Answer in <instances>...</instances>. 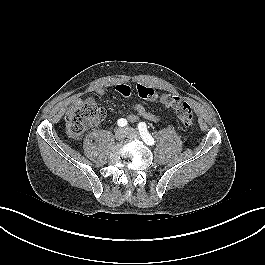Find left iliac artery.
Wrapping results in <instances>:
<instances>
[{"instance_id":"left-iliac-artery-1","label":"left iliac artery","mask_w":265,"mask_h":265,"mask_svg":"<svg viewBox=\"0 0 265 265\" xmlns=\"http://www.w3.org/2000/svg\"><path fill=\"white\" fill-rule=\"evenodd\" d=\"M138 130L140 132V135L143 139V141L148 144V145H154L155 141L153 139V137L149 134L148 130H147V126L144 122H140L138 124Z\"/></svg>"}]
</instances>
